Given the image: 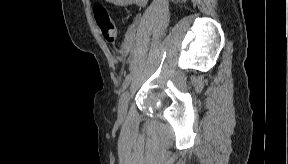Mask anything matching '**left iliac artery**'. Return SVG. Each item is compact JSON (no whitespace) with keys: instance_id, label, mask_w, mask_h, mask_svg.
Here are the masks:
<instances>
[{"instance_id":"1","label":"left iliac artery","mask_w":288,"mask_h":164,"mask_svg":"<svg viewBox=\"0 0 288 164\" xmlns=\"http://www.w3.org/2000/svg\"><path fill=\"white\" fill-rule=\"evenodd\" d=\"M131 79H132V75L131 74H128L123 82V85H122V91H124L130 84L131 82Z\"/></svg>"}]
</instances>
